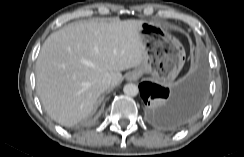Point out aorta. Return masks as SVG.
I'll use <instances>...</instances> for the list:
<instances>
[{
	"instance_id": "1",
	"label": "aorta",
	"mask_w": 244,
	"mask_h": 157,
	"mask_svg": "<svg viewBox=\"0 0 244 157\" xmlns=\"http://www.w3.org/2000/svg\"><path fill=\"white\" fill-rule=\"evenodd\" d=\"M123 91L128 96H136L139 93V88L137 85L129 83L124 86Z\"/></svg>"
}]
</instances>
